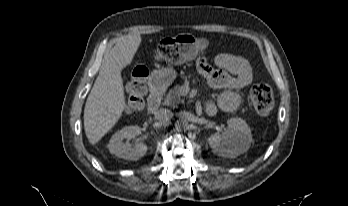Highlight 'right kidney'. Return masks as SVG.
Listing matches in <instances>:
<instances>
[{"label": "right kidney", "mask_w": 348, "mask_h": 206, "mask_svg": "<svg viewBox=\"0 0 348 206\" xmlns=\"http://www.w3.org/2000/svg\"><path fill=\"white\" fill-rule=\"evenodd\" d=\"M138 135V128L136 126H126L120 131L116 132L110 139L108 149L110 153L128 160H138L147 152V145L140 142L134 147H130L124 139H132Z\"/></svg>", "instance_id": "ca27d5eb"}]
</instances>
